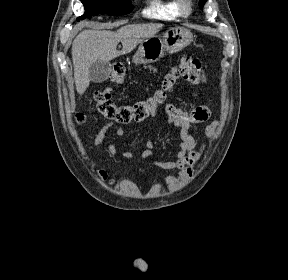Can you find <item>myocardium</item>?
Listing matches in <instances>:
<instances>
[{
	"instance_id": "obj_1",
	"label": "myocardium",
	"mask_w": 288,
	"mask_h": 280,
	"mask_svg": "<svg viewBox=\"0 0 288 280\" xmlns=\"http://www.w3.org/2000/svg\"><path fill=\"white\" fill-rule=\"evenodd\" d=\"M176 1L180 15L187 17L192 13L193 9L192 0H176Z\"/></svg>"
}]
</instances>
